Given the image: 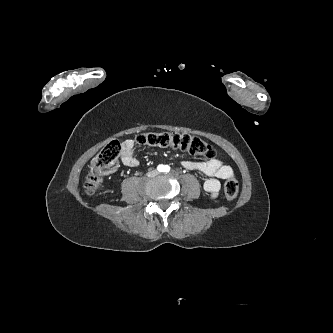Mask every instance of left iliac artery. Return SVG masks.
<instances>
[{"label": "left iliac artery", "instance_id": "44dca946", "mask_svg": "<svg viewBox=\"0 0 333 333\" xmlns=\"http://www.w3.org/2000/svg\"><path fill=\"white\" fill-rule=\"evenodd\" d=\"M170 171V167L168 165L164 166V172H169Z\"/></svg>", "mask_w": 333, "mask_h": 333}]
</instances>
